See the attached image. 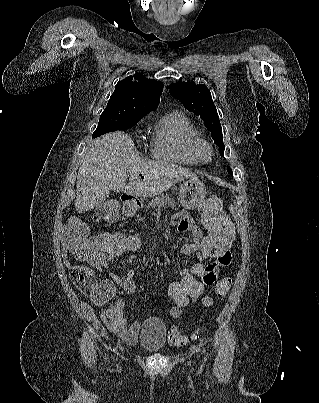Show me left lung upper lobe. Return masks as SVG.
<instances>
[{"label": "left lung upper lobe", "instance_id": "5c2ea615", "mask_svg": "<svg viewBox=\"0 0 319 403\" xmlns=\"http://www.w3.org/2000/svg\"><path fill=\"white\" fill-rule=\"evenodd\" d=\"M170 94L180 100L184 107L200 118L211 131L215 144L219 147V153L224 156L225 145L223 143L222 128L216 107L213 103L209 89L204 85H196L193 82H176L167 86ZM229 174L233 175L230 167Z\"/></svg>", "mask_w": 319, "mask_h": 403}]
</instances>
